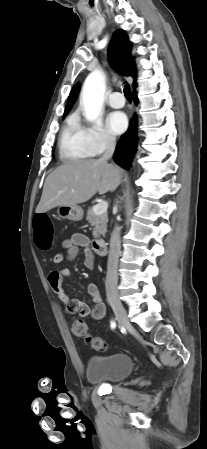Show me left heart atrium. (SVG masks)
Instances as JSON below:
<instances>
[{"mask_svg": "<svg viewBox=\"0 0 207 449\" xmlns=\"http://www.w3.org/2000/svg\"><path fill=\"white\" fill-rule=\"evenodd\" d=\"M128 125V120L123 112H112L107 117V126L111 133L121 134Z\"/></svg>", "mask_w": 207, "mask_h": 449, "instance_id": "obj_1", "label": "left heart atrium"}]
</instances>
